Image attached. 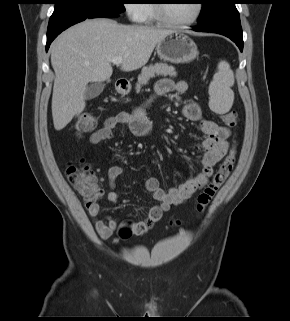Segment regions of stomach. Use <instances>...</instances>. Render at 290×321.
Returning <instances> with one entry per match:
<instances>
[{"label":"stomach","mask_w":290,"mask_h":321,"mask_svg":"<svg viewBox=\"0 0 290 321\" xmlns=\"http://www.w3.org/2000/svg\"><path fill=\"white\" fill-rule=\"evenodd\" d=\"M160 59L174 64H183L193 61L198 56V49L195 42L185 33L172 31L156 46ZM122 94L128 92L118 88Z\"/></svg>","instance_id":"0dacf381"}]
</instances>
